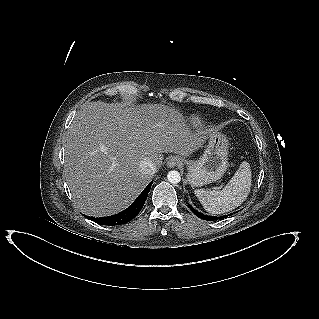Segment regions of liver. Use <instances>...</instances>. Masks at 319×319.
Wrapping results in <instances>:
<instances>
[{
	"label": "liver",
	"mask_w": 319,
	"mask_h": 319,
	"mask_svg": "<svg viewBox=\"0 0 319 319\" xmlns=\"http://www.w3.org/2000/svg\"><path fill=\"white\" fill-rule=\"evenodd\" d=\"M206 133L194 134L166 105H86L64 139V174L77 208L93 217L121 212L152 179L140 171L144 158L160 168L162 153L189 156Z\"/></svg>",
	"instance_id": "1"
}]
</instances>
